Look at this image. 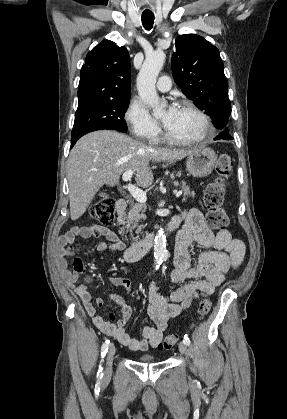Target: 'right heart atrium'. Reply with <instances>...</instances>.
Wrapping results in <instances>:
<instances>
[{"instance_id": "obj_1", "label": "right heart atrium", "mask_w": 287, "mask_h": 419, "mask_svg": "<svg viewBox=\"0 0 287 419\" xmlns=\"http://www.w3.org/2000/svg\"><path fill=\"white\" fill-rule=\"evenodd\" d=\"M124 119L131 133L139 139L153 141L160 134L157 121L149 114L144 104L137 99L130 102Z\"/></svg>"}]
</instances>
